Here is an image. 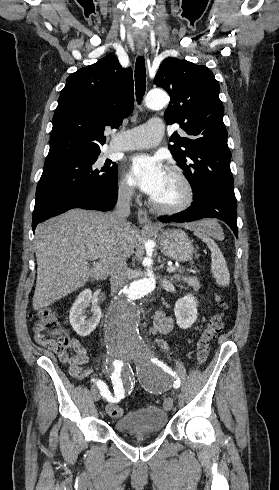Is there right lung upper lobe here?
<instances>
[{
    "instance_id": "cb5924a9",
    "label": "right lung upper lobe",
    "mask_w": 279,
    "mask_h": 490,
    "mask_svg": "<svg viewBox=\"0 0 279 490\" xmlns=\"http://www.w3.org/2000/svg\"><path fill=\"white\" fill-rule=\"evenodd\" d=\"M133 76L109 54L67 78L53 116L45 162L100 152L105 126L118 128L133 110Z\"/></svg>"
}]
</instances>
